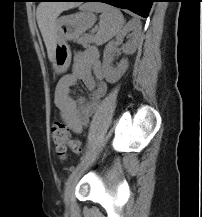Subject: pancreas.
<instances>
[{"label": "pancreas", "mask_w": 202, "mask_h": 217, "mask_svg": "<svg viewBox=\"0 0 202 217\" xmlns=\"http://www.w3.org/2000/svg\"><path fill=\"white\" fill-rule=\"evenodd\" d=\"M94 42V37L92 35L83 36L79 39V43L83 45V47H88L91 43Z\"/></svg>", "instance_id": "pancreas-1"}]
</instances>
